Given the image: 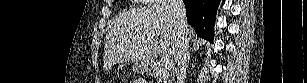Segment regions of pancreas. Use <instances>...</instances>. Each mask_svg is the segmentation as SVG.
Segmentation results:
<instances>
[{
	"instance_id": "1",
	"label": "pancreas",
	"mask_w": 307,
	"mask_h": 83,
	"mask_svg": "<svg viewBox=\"0 0 307 83\" xmlns=\"http://www.w3.org/2000/svg\"><path fill=\"white\" fill-rule=\"evenodd\" d=\"M165 80H166V78H164L163 76H160L158 78V83H164Z\"/></svg>"
}]
</instances>
